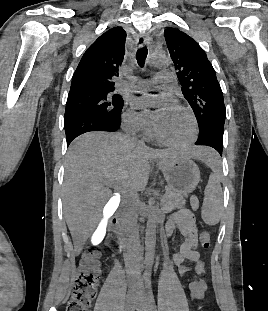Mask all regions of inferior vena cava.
Segmentation results:
<instances>
[{"mask_svg":"<svg viewBox=\"0 0 268 311\" xmlns=\"http://www.w3.org/2000/svg\"><path fill=\"white\" fill-rule=\"evenodd\" d=\"M137 193H129L126 196L124 209L122 212V230L123 243L126 248L124 253L125 266L131 271L133 277L130 279V287L137 288V278L139 276L141 256L139 249V232L137 224V213L135 210V201ZM133 270V271H132Z\"/></svg>","mask_w":268,"mask_h":311,"instance_id":"602c4592","label":"inferior vena cava"}]
</instances>
